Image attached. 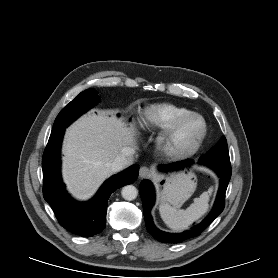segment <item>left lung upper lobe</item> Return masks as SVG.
I'll return each mask as SVG.
<instances>
[{
    "instance_id": "5c2ea615",
    "label": "left lung upper lobe",
    "mask_w": 278,
    "mask_h": 278,
    "mask_svg": "<svg viewBox=\"0 0 278 278\" xmlns=\"http://www.w3.org/2000/svg\"><path fill=\"white\" fill-rule=\"evenodd\" d=\"M200 161L206 164L231 168L226 138L223 136L213 148L200 157Z\"/></svg>"
}]
</instances>
